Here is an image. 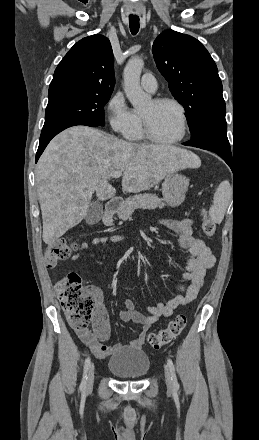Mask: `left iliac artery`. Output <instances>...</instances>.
Returning a JSON list of instances; mask_svg holds the SVG:
<instances>
[{
  "mask_svg": "<svg viewBox=\"0 0 259 440\" xmlns=\"http://www.w3.org/2000/svg\"><path fill=\"white\" fill-rule=\"evenodd\" d=\"M167 364H168L169 369H170V371H171V377H172L173 387H174L175 389H178V388H179V384H178V381H177V378H176L174 364H173V362H172L171 359H168Z\"/></svg>",
  "mask_w": 259,
  "mask_h": 440,
  "instance_id": "1",
  "label": "left iliac artery"
}]
</instances>
